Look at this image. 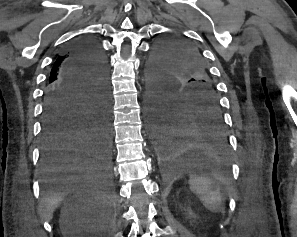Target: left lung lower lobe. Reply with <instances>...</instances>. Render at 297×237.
<instances>
[{"label": "left lung lower lobe", "mask_w": 297, "mask_h": 237, "mask_svg": "<svg viewBox=\"0 0 297 237\" xmlns=\"http://www.w3.org/2000/svg\"><path fill=\"white\" fill-rule=\"evenodd\" d=\"M148 112L154 145L169 168L224 167L229 142L220 109L212 100L181 104L167 96H150Z\"/></svg>", "instance_id": "obj_1"}]
</instances>
